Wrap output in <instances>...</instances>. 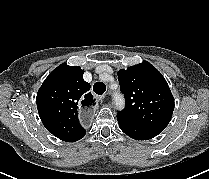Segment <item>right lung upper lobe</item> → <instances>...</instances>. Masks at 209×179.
Listing matches in <instances>:
<instances>
[{"label":"right lung upper lobe","instance_id":"obj_1","mask_svg":"<svg viewBox=\"0 0 209 179\" xmlns=\"http://www.w3.org/2000/svg\"><path fill=\"white\" fill-rule=\"evenodd\" d=\"M83 73L79 66L61 64L48 75L36 97L43 125L55 137L66 142H75L85 136L78 108H91L96 104Z\"/></svg>","mask_w":209,"mask_h":179}]
</instances>
